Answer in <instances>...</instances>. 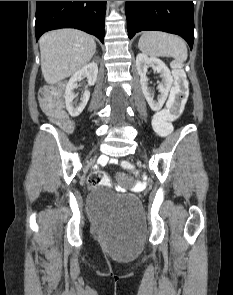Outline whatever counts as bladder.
Here are the masks:
<instances>
[{"label": "bladder", "mask_w": 233, "mask_h": 295, "mask_svg": "<svg viewBox=\"0 0 233 295\" xmlns=\"http://www.w3.org/2000/svg\"><path fill=\"white\" fill-rule=\"evenodd\" d=\"M87 208L91 216L98 222L141 211L140 203L136 197L115 194L99 187L93 188L89 194Z\"/></svg>", "instance_id": "31cf9c89"}]
</instances>
